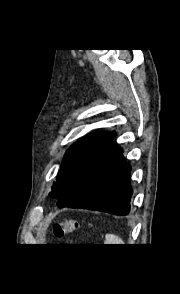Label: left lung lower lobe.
Returning <instances> with one entry per match:
<instances>
[{"label": "left lung lower lobe", "instance_id": "0a47b994", "mask_svg": "<svg viewBox=\"0 0 180 294\" xmlns=\"http://www.w3.org/2000/svg\"><path fill=\"white\" fill-rule=\"evenodd\" d=\"M112 132L97 154L77 177L58 207L98 210L116 215L130 211L131 167L115 147Z\"/></svg>", "mask_w": 180, "mask_h": 294}]
</instances>
